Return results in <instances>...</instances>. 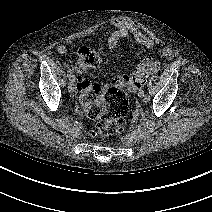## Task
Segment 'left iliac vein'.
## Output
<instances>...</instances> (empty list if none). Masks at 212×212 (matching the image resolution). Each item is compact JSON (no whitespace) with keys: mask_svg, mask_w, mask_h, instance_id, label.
Listing matches in <instances>:
<instances>
[{"mask_svg":"<svg viewBox=\"0 0 212 212\" xmlns=\"http://www.w3.org/2000/svg\"><path fill=\"white\" fill-rule=\"evenodd\" d=\"M138 96L140 97V98H143V102H145V95H144V91L143 90H140L139 92H138Z\"/></svg>","mask_w":212,"mask_h":212,"instance_id":"obj_1","label":"left iliac vein"}]
</instances>
